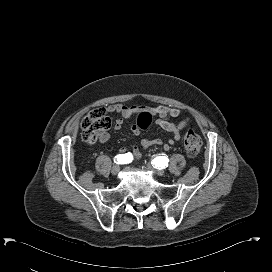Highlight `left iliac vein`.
<instances>
[{"label":"left iliac vein","mask_w":272,"mask_h":272,"mask_svg":"<svg viewBox=\"0 0 272 272\" xmlns=\"http://www.w3.org/2000/svg\"><path fill=\"white\" fill-rule=\"evenodd\" d=\"M147 169L149 170H154L159 176H163L164 175V170L161 168H155L152 165L148 164L146 165Z\"/></svg>","instance_id":"obj_1"}]
</instances>
